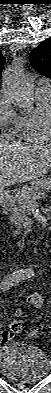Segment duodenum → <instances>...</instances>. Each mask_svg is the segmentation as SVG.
Wrapping results in <instances>:
<instances>
[{
	"instance_id": "obj_1",
	"label": "duodenum",
	"mask_w": 51,
	"mask_h": 393,
	"mask_svg": "<svg viewBox=\"0 0 51 393\" xmlns=\"http://www.w3.org/2000/svg\"><path fill=\"white\" fill-rule=\"evenodd\" d=\"M9 196L6 192H1L0 193V200L2 203H5L8 200ZM43 226V224L39 223V224H35L32 229L37 230L40 229ZM15 234H19V231H14Z\"/></svg>"
}]
</instances>
